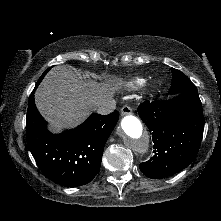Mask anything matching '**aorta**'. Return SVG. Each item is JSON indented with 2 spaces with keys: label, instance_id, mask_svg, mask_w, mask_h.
<instances>
[{
  "label": "aorta",
  "instance_id": "762f6f07",
  "mask_svg": "<svg viewBox=\"0 0 221 221\" xmlns=\"http://www.w3.org/2000/svg\"><path fill=\"white\" fill-rule=\"evenodd\" d=\"M118 133L131 150L142 154L147 152L149 137L137 117L133 115L124 116L121 120Z\"/></svg>",
  "mask_w": 221,
  "mask_h": 221
}]
</instances>
